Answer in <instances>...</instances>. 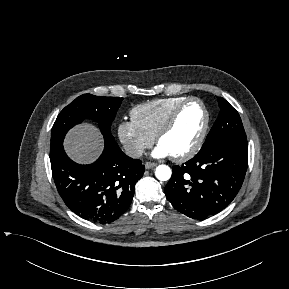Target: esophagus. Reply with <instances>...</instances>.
Here are the masks:
<instances>
[{"mask_svg":"<svg viewBox=\"0 0 289 289\" xmlns=\"http://www.w3.org/2000/svg\"><path fill=\"white\" fill-rule=\"evenodd\" d=\"M157 164L156 163H152V162H145V168L146 169H150L155 167Z\"/></svg>","mask_w":289,"mask_h":289,"instance_id":"34e87169","label":"esophagus"}]
</instances>
